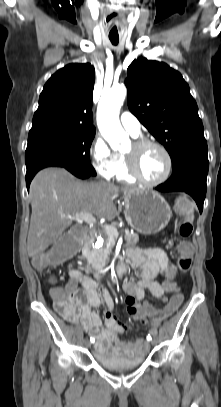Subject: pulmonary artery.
Listing matches in <instances>:
<instances>
[{
  "instance_id": "1",
  "label": "pulmonary artery",
  "mask_w": 221,
  "mask_h": 407,
  "mask_svg": "<svg viewBox=\"0 0 221 407\" xmlns=\"http://www.w3.org/2000/svg\"><path fill=\"white\" fill-rule=\"evenodd\" d=\"M121 125L132 136L137 137L141 133V125L138 119L130 112H123L120 117Z\"/></svg>"
}]
</instances>
